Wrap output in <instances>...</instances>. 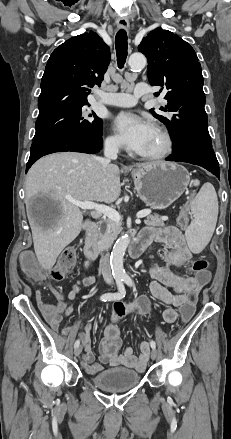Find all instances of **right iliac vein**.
I'll list each match as a JSON object with an SVG mask.
<instances>
[{"label": "right iliac vein", "mask_w": 231, "mask_h": 439, "mask_svg": "<svg viewBox=\"0 0 231 439\" xmlns=\"http://www.w3.org/2000/svg\"><path fill=\"white\" fill-rule=\"evenodd\" d=\"M81 351H82V347L81 346L76 347L75 350H74L75 356H79Z\"/></svg>", "instance_id": "1"}]
</instances>
